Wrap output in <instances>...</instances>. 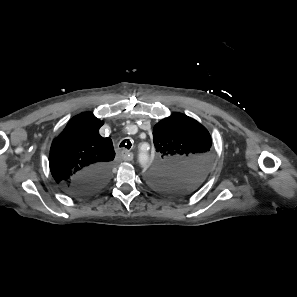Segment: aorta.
Segmentation results:
<instances>
[{
	"label": "aorta",
	"instance_id": "762f6f07",
	"mask_svg": "<svg viewBox=\"0 0 297 297\" xmlns=\"http://www.w3.org/2000/svg\"><path fill=\"white\" fill-rule=\"evenodd\" d=\"M139 161L144 169L149 165V156L145 152L139 154Z\"/></svg>",
	"mask_w": 297,
	"mask_h": 297
}]
</instances>
